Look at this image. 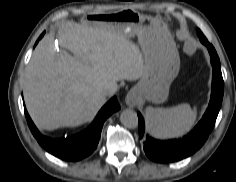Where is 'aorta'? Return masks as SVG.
<instances>
[{"mask_svg":"<svg viewBox=\"0 0 236 182\" xmlns=\"http://www.w3.org/2000/svg\"><path fill=\"white\" fill-rule=\"evenodd\" d=\"M120 121L125 127L130 129L137 128L139 122L137 113L131 109L122 111L120 115Z\"/></svg>","mask_w":236,"mask_h":182,"instance_id":"1","label":"aorta"}]
</instances>
